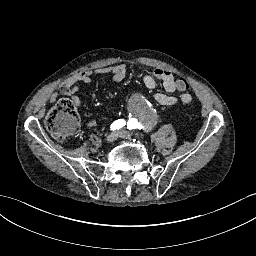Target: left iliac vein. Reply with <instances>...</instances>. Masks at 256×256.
I'll use <instances>...</instances> for the list:
<instances>
[{"label":"left iliac vein","instance_id":"left-iliac-vein-1","mask_svg":"<svg viewBox=\"0 0 256 256\" xmlns=\"http://www.w3.org/2000/svg\"><path fill=\"white\" fill-rule=\"evenodd\" d=\"M118 135L119 137H122V138H128L130 136V134L127 131H119Z\"/></svg>","mask_w":256,"mask_h":256}]
</instances>
